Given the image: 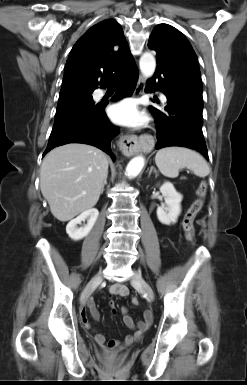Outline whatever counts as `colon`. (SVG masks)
I'll use <instances>...</instances> for the list:
<instances>
[{
	"mask_svg": "<svg viewBox=\"0 0 247 385\" xmlns=\"http://www.w3.org/2000/svg\"><path fill=\"white\" fill-rule=\"evenodd\" d=\"M206 192L207 185L205 182H202L197 190V199L191 204L183 217L182 227L185 237L190 243L194 242V220L203 207ZM132 302L134 305L139 303L137 298H134Z\"/></svg>",
	"mask_w": 247,
	"mask_h": 385,
	"instance_id": "1",
	"label": "colon"
}]
</instances>
